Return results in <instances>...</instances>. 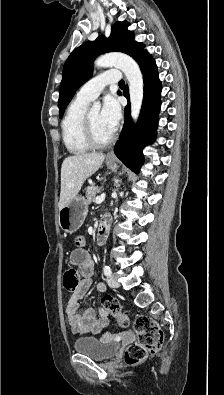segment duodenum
<instances>
[{
	"label": "duodenum",
	"instance_id": "1",
	"mask_svg": "<svg viewBox=\"0 0 224 395\" xmlns=\"http://www.w3.org/2000/svg\"><path fill=\"white\" fill-rule=\"evenodd\" d=\"M111 222H112V220L108 216H105L102 218V220L98 226V230H97V234H96V245L97 246H102L107 242V239H108L109 233H110Z\"/></svg>",
	"mask_w": 224,
	"mask_h": 395
}]
</instances>
